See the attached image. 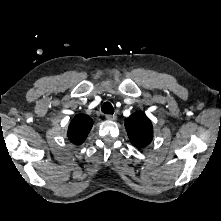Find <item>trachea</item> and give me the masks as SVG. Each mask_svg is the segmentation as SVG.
Segmentation results:
<instances>
[{
  "label": "trachea",
  "mask_w": 221,
  "mask_h": 221,
  "mask_svg": "<svg viewBox=\"0 0 221 221\" xmlns=\"http://www.w3.org/2000/svg\"><path fill=\"white\" fill-rule=\"evenodd\" d=\"M101 111L105 114H113L114 108L111 103L105 102L101 107Z\"/></svg>",
  "instance_id": "obj_1"
}]
</instances>
